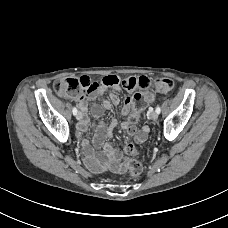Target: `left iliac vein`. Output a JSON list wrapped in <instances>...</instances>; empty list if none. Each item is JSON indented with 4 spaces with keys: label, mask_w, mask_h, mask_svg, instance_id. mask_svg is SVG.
<instances>
[{
    "label": "left iliac vein",
    "mask_w": 228,
    "mask_h": 228,
    "mask_svg": "<svg viewBox=\"0 0 228 228\" xmlns=\"http://www.w3.org/2000/svg\"><path fill=\"white\" fill-rule=\"evenodd\" d=\"M150 117H151L152 120H157V118H158V113H157L156 111H153V112L151 113Z\"/></svg>",
    "instance_id": "4c4485c4"
}]
</instances>
